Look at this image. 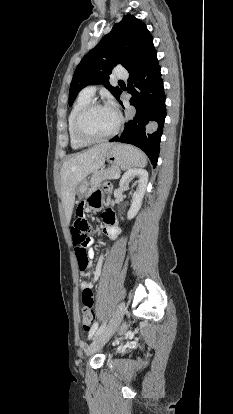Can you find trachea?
Masks as SVG:
<instances>
[{
  "label": "trachea",
  "mask_w": 233,
  "mask_h": 414,
  "mask_svg": "<svg viewBox=\"0 0 233 414\" xmlns=\"http://www.w3.org/2000/svg\"><path fill=\"white\" fill-rule=\"evenodd\" d=\"M119 83H124L122 80H119Z\"/></svg>",
  "instance_id": "3493384b"
}]
</instances>
